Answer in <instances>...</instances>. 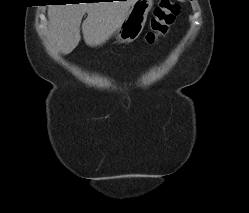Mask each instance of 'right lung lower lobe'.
Returning <instances> with one entry per match:
<instances>
[{
	"instance_id": "right-lung-lower-lobe-1",
	"label": "right lung lower lobe",
	"mask_w": 249,
	"mask_h": 213,
	"mask_svg": "<svg viewBox=\"0 0 249 213\" xmlns=\"http://www.w3.org/2000/svg\"><path fill=\"white\" fill-rule=\"evenodd\" d=\"M91 1H96V0H91ZM59 3H63V2H59ZM93 3V2H92Z\"/></svg>"
}]
</instances>
